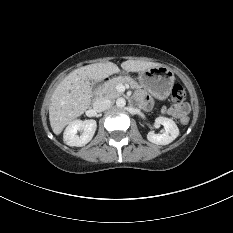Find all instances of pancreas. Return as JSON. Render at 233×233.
Here are the masks:
<instances>
[{
  "label": "pancreas",
  "mask_w": 233,
  "mask_h": 233,
  "mask_svg": "<svg viewBox=\"0 0 233 233\" xmlns=\"http://www.w3.org/2000/svg\"><path fill=\"white\" fill-rule=\"evenodd\" d=\"M119 84L130 86L133 89H140L141 86L129 76H119L105 82L99 89V94L107 98H117L123 93L119 92L116 87Z\"/></svg>",
  "instance_id": "cf45deb5"
}]
</instances>
